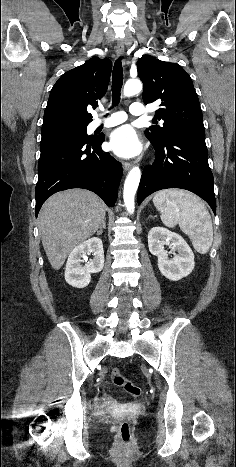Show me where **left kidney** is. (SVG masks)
Here are the masks:
<instances>
[{"label": "left kidney", "instance_id": "1", "mask_svg": "<svg viewBox=\"0 0 236 467\" xmlns=\"http://www.w3.org/2000/svg\"><path fill=\"white\" fill-rule=\"evenodd\" d=\"M164 245H169L171 252L177 251L178 254L170 259ZM148 247L151 254L158 257V268L167 279L178 281L193 271L194 254L179 234L154 227L148 233Z\"/></svg>", "mask_w": 236, "mask_h": 467}]
</instances>
